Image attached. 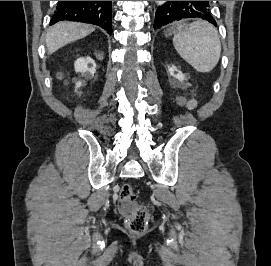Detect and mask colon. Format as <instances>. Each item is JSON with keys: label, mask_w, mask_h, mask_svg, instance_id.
<instances>
[{"label": "colon", "mask_w": 271, "mask_h": 266, "mask_svg": "<svg viewBox=\"0 0 271 266\" xmlns=\"http://www.w3.org/2000/svg\"><path fill=\"white\" fill-rule=\"evenodd\" d=\"M120 197L125 203H133L136 195L131 184H124L120 191ZM148 224V214L140 206H136L133 212L127 217L126 225L128 229L137 235L146 232Z\"/></svg>", "instance_id": "1"}]
</instances>
